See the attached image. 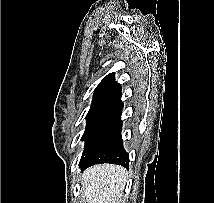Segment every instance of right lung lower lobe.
I'll return each instance as SVG.
<instances>
[{
    "mask_svg": "<svg viewBox=\"0 0 214 203\" xmlns=\"http://www.w3.org/2000/svg\"><path fill=\"white\" fill-rule=\"evenodd\" d=\"M122 108L121 98L115 100L89 131L79 163L82 170L100 163L129 168V154L124 150L121 138Z\"/></svg>",
    "mask_w": 214,
    "mask_h": 203,
    "instance_id": "right-lung-lower-lobe-1",
    "label": "right lung lower lobe"
}]
</instances>
